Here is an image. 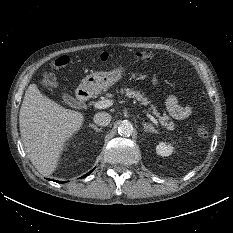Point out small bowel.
Masks as SVG:
<instances>
[{"mask_svg":"<svg viewBox=\"0 0 233 233\" xmlns=\"http://www.w3.org/2000/svg\"><path fill=\"white\" fill-rule=\"evenodd\" d=\"M152 84H157V78H152ZM166 107L169 114L177 120H183L189 117L192 113V107L190 105H181L176 96L170 95L166 100Z\"/></svg>","mask_w":233,"mask_h":233,"instance_id":"small-bowel-1","label":"small bowel"}]
</instances>
